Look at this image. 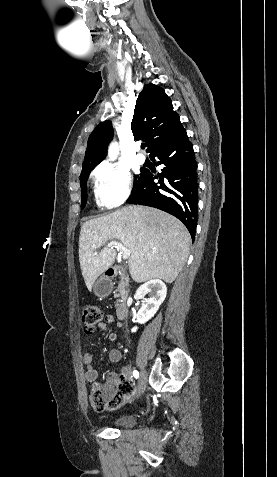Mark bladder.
<instances>
[{
	"label": "bladder",
	"instance_id": "obj_1",
	"mask_svg": "<svg viewBox=\"0 0 277 477\" xmlns=\"http://www.w3.org/2000/svg\"><path fill=\"white\" fill-rule=\"evenodd\" d=\"M136 423V418L133 415L126 414L118 417L112 422L115 427H131Z\"/></svg>",
	"mask_w": 277,
	"mask_h": 477
}]
</instances>
